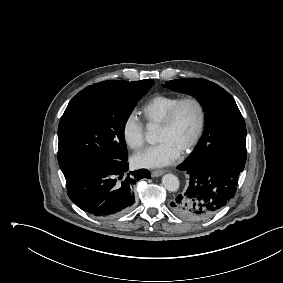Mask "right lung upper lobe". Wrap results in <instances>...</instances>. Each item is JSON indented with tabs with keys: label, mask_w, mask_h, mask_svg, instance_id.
Wrapping results in <instances>:
<instances>
[{
	"label": "right lung upper lobe",
	"mask_w": 283,
	"mask_h": 283,
	"mask_svg": "<svg viewBox=\"0 0 283 283\" xmlns=\"http://www.w3.org/2000/svg\"><path fill=\"white\" fill-rule=\"evenodd\" d=\"M133 82L122 81V80L121 81L120 80L103 81L100 83H96L92 86H88L82 91H86V90L108 91V90H112V89H115L121 86L131 85Z\"/></svg>",
	"instance_id": "1"
}]
</instances>
